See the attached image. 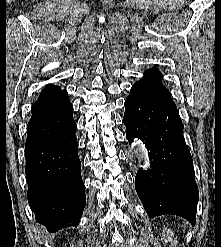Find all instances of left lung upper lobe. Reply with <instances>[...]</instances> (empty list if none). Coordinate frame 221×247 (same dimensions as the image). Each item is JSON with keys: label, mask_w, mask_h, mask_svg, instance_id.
Returning a JSON list of instances; mask_svg holds the SVG:
<instances>
[{"label": "left lung upper lobe", "mask_w": 221, "mask_h": 247, "mask_svg": "<svg viewBox=\"0 0 221 247\" xmlns=\"http://www.w3.org/2000/svg\"><path fill=\"white\" fill-rule=\"evenodd\" d=\"M133 87L151 97L174 103L169 90L162 83V75L157 68H151L144 72V77L136 82Z\"/></svg>", "instance_id": "5c2ea615"}]
</instances>
